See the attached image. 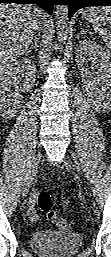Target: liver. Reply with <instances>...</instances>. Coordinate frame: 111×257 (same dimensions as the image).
<instances>
[{"instance_id": "1", "label": "liver", "mask_w": 111, "mask_h": 257, "mask_svg": "<svg viewBox=\"0 0 111 257\" xmlns=\"http://www.w3.org/2000/svg\"><path fill=\"white\" fill-rule=\"evenodd\" d=\"M46 23V14L33 5L3 3L0 5V63L10 65L23 55L35 31Z\"/></svg>"}]
</instances>
